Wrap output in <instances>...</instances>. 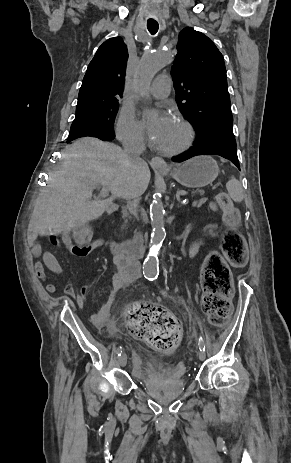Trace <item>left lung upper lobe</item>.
<instances>
[{"label": "left lung upper lobe", "instance_id": "1", "mask_svg": "<svg viewBox=\"0 0 291 463\" xmlns=\"http://www.w3.org/2000/svg\"><path fill=\"white\" fill-rule=\"evenodd\" d=\"M176 48L171 71L176 101L196 139L236 146L222 54L207 36L190 27L180 32Z\"/></svg>", "mask_w": 291, "mask_h": 463}]
</instances>
